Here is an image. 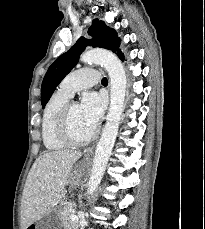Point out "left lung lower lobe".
<instances>
[{
	"label": "left lung lower lobe",
	"mask_w": 205,
	"mask_h": 229,
	"mask_svg": "<svg viewBox=\"0 0 205 229\" xmlns=\"http://www.w3.org/2000/svg\"><path fill=\"white\" fill-rule=\"evenodd\" d=\"M118 57H119L121 60H124V55H123V53H122L121 51L118 53Z\"/></svg>",
	"instance_id": "obj_1"
}]
</instances>
